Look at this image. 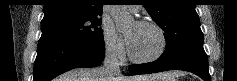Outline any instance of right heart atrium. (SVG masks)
<instances>
[{"label":"right heart atrium","instance_id":"1","mask_svg":"<svg viewBox=\"0 0 237 81\" xmlns=\"http://www.w3.org/2000/svg\"><path fill=\"white\" fill-rule=\"evenodd\" d=\"M103 38L106 54L115 59L124 57V44L110 23L103 25Z\"/></svg>","mask_w":237,"mask_h":81}]
</instances>
